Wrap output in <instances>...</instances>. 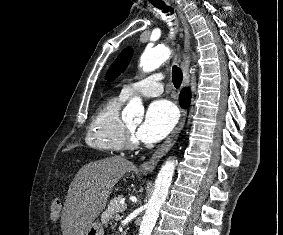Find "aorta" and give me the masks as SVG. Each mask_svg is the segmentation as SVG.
<instances>
[{"instance_id": "1", "label": "aorta", "mask_w": 283, "mask_h": 235, "mask_svg": "<svg viewBox=\"0 0 283 235\" xmlns=\"http://www.w3.org/2000/svg\"><path fill=\"white\" fill-rule=\"evenodd\" d=\"M171 55L168 47L158 46L150 50H146L140 57L139 66L144 72H151L167 61ZM144 108L140 98H133L123 110V119H135L141 121ZM175 160L166 161L161 167L154 183V190L143 216L138 235H151L155 222L158 218L160 208L165 202L172 177L175 170Z\"/></svg>"}]
</instances>
